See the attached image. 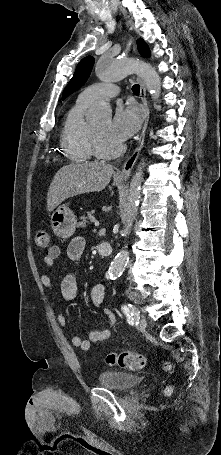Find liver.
I'll return each mask as SVG.
<instances>
[{
    "label": "liver",
    "instance_id": "6515ba94",
    "mask_svg": "<svg viewBox=\"0 0 221 455\" xmlns=\"http://www.w3.org/2000/svg\"><path fill=\"white\" fill-rule=\"evenodd\" d=\"M114 173L105 163H73L61 167L54 176L47 194V209L53 211L65 199L102 191Z\"/></svg>",
    "mask_w": 221,
    "mask_h": 455
}]
</instances>
